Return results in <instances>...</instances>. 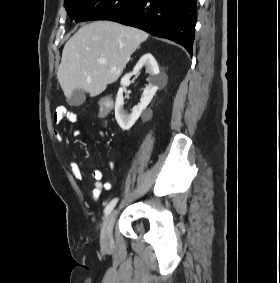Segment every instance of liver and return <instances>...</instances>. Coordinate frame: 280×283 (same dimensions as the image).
I'll return each mask as SVG.
<instances>
[{"label":"liver","instance_id":"obj_1","mask_svg":"<svg viewBox=\"0 0 280 283\" xmlns=\"http://www.w3.org/2000/svg\"><path fill=\"white\" fill-rule=\"evenodd\" d=\"M140 29L110 21L81 27L65 44L57 77L69 99L77 89L95 97L120 77L135 50L148 38ZM105 60V64L99 61Z\"/></svg>","mask_w":280,"mask_h":283}]
</instances>
